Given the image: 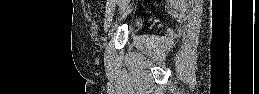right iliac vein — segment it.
I'll return each mask as SVG.
<instances>
[{
    "mask_svg": "<svg viewBox=\"0 0 259 94\" xmlns=\"http://www.w3.org/2000/svg\"><path fill=\"white\" fill-rule=\"evenodd\" d=\"M114 9H115V5H114V3H111L109 5L108 9H107V15H106V20H105V24H104V31L105 32H107L109 27H110ZM127 11H129V9Z\"/></svg>",
    "mask_w": 259,
    "mask_h": 94,
    "instance_id": "1",
    "label": "right iliac vein"
}]
</instances>
